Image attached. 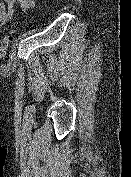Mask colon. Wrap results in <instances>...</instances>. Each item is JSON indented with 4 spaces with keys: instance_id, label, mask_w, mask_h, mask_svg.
I'll use <instances>...</instances> for the list:
<instances>
[{
    "instance_id": "colon-1",
    "label": "colon",
    "mask_w": 131,
    "mask_h": 177,
    "mask_svg": "<svg viewBox=\"0 0 131 177\" xmlns=\"http://www.w3.org/2000/svg\"><path fill=\"white\" fill-rule=\"evenodd\" d=\"M13 39H14V33L11 31L8 32L0 41V59H2L6 55L7 50L10 44L12 43Z\"/></svg>"
}]
</instances>
